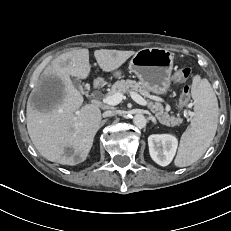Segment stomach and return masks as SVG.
Returning a JSON list of instances; mask_svg holds the SVG:
<instances>
[{
  "mask_svg": "<svg viewBox=\"0 0 231 231\" xmlns=\"http://www.w3.org/2000/svg\"><path fill=\"white\" fill-rule=\"evenodd\" d=\"M173 53L164 48H144L130 61V69L148 91L165 95L171 86ZM116 76L120 73L116 72Z\"/></svg>",
  "mask_w": 231,
  "mask_h": 231,
  "instance_id": "0dacf381",
  "label": "stomach"
}]
</instances>
